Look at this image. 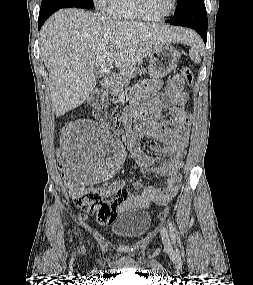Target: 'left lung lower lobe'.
<instances>
[{
	"label": "left lung lower lobe",
	"instance_id": "left-lung-lower-lobe-1",
	"mask_svg": "<svg viewBox=\"0 0 253 285\" xmlns=\"http://www.w3.org/2000/svg\"><path fill=\"white\" fill-rule=\"evenodd\" d=\"M167 23L177 26H185L196 30L206 44L207 38V13L204 0H196L175 14Z\"/></svg>",
	"mask_w": 253,
	"mask_h": 285
}]
</instances>
